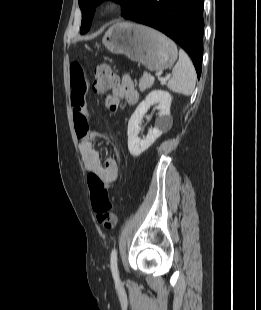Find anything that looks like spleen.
Instances as JSON below:
<instances>
[{"mask_svg": "<svg viewBox=\"0 0 261 310\" xmlns=\"http://www.w3.org/2000/svg\"><path fill=\"white\" fill-rule=\"evenodd\" d=\"M196 79V71L190 58L183 50H180L179 60L173 68L167 87L172 92L189 96L195 88Z\"/></svg>", "mask_w": 261, "mask_h": 310, "instance_id": "3e777b00", "label": "spleen"}]
</instances>
